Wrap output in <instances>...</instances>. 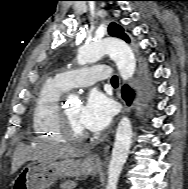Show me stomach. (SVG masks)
I'll use <instances>...</instances> for the list:
<instances>
[{
	"label": "stomach",
	"mask_w": 188,
	"mask_h": 189,
	"mask_svg": "<svg viewBox=\"0 0 188 189\" xmlns=\"http://www.w3.org/2000/svg\"><path fill=\"white\" fill-rule=\"evenodd\" d=\"M99 164L92 157L53 161L36 160L25 166L13 181V189H47L58 178L94 175Z\"/></svg>",
	"instance_id": "1"
}]
</instances>
